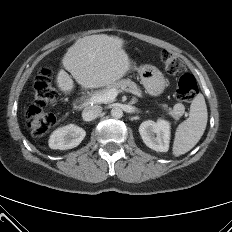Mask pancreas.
Returning a JSON list of instances; mask_svg holds the SVG:
<instances>
[{
	"label": "pancreas",
	"instance_id": "cf45deb5",
	"mask_svg": "<svg viewBox=\"0 0 232 232\" xmlns=\"http://www.w3.org/2000/svg\"><path fill=\"white\" fill-rule=\"evenodd\" d=\"M125 88H129V89L133 90L134 92L141 94V89L137 86V84L135 82H133L129 79H124V80L118 81L110 86H107L105 89L95 91L93 93V96L105 94L106 92H108L111 89L120 90V89H125ZM162 107L175 120L179 119L180 114H177L175 110H173L172 108H169L166 104L162 105Z\"/></svg>",
	"mask_w": 232,
	"mask_h": 232
}]
</instances>
